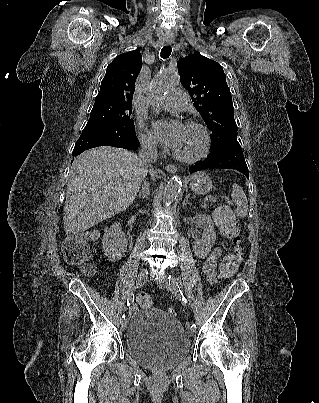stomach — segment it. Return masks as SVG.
Instances as JSON below:
<instances>
[{"label": "stomach", "instance_id": "stomach-1", "mask_svg": "<svg viewBox=\"0 0 319 403\" xmlns=\"http://www.w3.org/2000/svg\"><path fill=\"white\" fill-rule=\"evenodd\" d=\"M189 188L198 195H204L213 188L211 178L204 172H197L188 177Z\"/></svg>", "mask_w": 319, "mask_h": 403}]
</instances>
